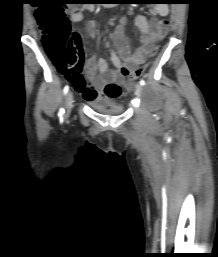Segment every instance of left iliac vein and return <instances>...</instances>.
Wrapping results in <instances>:
<instances>
[{"label": "left iliac vein", "mask_w": 218, "mask_h": 257, "mask_svg": "<svg viewBox=\"0 0 218 257\" xmlns=\"http://www.w3.org/2000/svg\"><path fill=\"white\" fill-rule=\"evenodd\" d=\"M142 91H143V87H142L140 84H138V85L136 86V89H135V94H136L138 97H140V96L142 95Z\"/></svg>", "instance_id": "left-iliac-vein-1"}]
</instances>
